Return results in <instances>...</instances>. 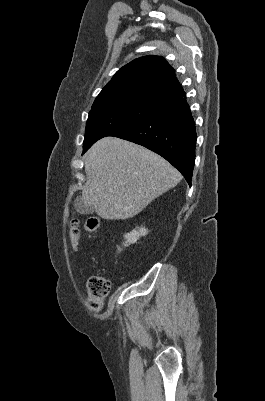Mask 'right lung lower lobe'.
<instances>
[{
    "label": "right lung lower lobe",
    "instance_id": "obj_1",
    "mask_svg": "<svg viewBox=\"0 0 265 401\" xmlns=\"http://www.w3.org/2000/svg\"><path fill=\"white\" fill-rule=\"evenodd\" d=\"M108 136L140 144L161 155L181 172L191 186L197 135L186 97L171 101Z\"/></svg>",
    "mask_w": 265,
    "mask_h": 401
}]
</instances>
